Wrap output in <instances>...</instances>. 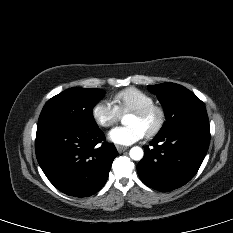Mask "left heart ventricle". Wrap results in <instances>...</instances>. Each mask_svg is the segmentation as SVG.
<instances>
[{
  "label": "left heart ventricle",
  "instance_id": "b2bd125f",
  "mask_svg": "<svg viewBox=\"0 0 233 233\" xmlns=\"http://www.w3.org/2000/svg\"><path fill=\"white\" fill-rule=\"evenodd\" d=\"M125 122L127 125L130 124L139 125L145 131V133H147L155 126L157 122V114L151 113L145 117H138L134 114H129Z\"/></svg>",
  "mask_w": 233,
  "mask_h": 233
}]
</instances>
